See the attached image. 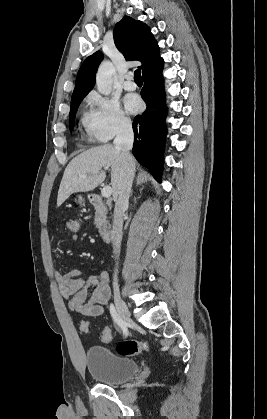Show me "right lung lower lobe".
<instances>
[{"mask_svg":"<svg viewBox=\"0 0 267 419\" xmlns=\"http://www.w3.org/2000/svg\"><path fill=\"white\" fill-rule=\"evenodd\" d=\"M162 70L163 61L143 74L144 87L141 96L147 109L134 118L135 140L132 149L137 161L148 168L159 182L163 171L167 115Z\"/></svg>","mask_w":267,"mask_h":419,"instance_id":"right-lung-lower-lobe-1","label":"right lung lower lobe"}]
</instances>
